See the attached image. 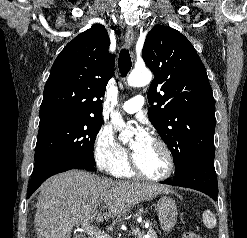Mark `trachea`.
<instances>
[{"label": "trachea", "instance_id": "1", "mask_svg": "<svg viewBox=\"0 0 247 238\" xmlns=\"http://www.w3.org/2000/svg\"><path fill=\"white\" fill-rule=\"evenodd\" d=\"M118 65L121 75L125 77L127 73L130 71L132 66L128 49H122L120 51Z\"/></svg>", "mask_w": 247, "mask_h": 238}]
</instances>
